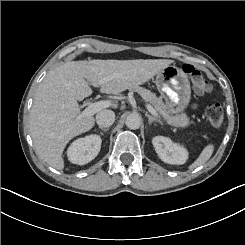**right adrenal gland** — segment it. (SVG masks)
Masks as SVG:
<instances>
[{"mask_svg":"<svg viewBox=\"0 0 245 245\" xmlns=\"http://www.w3.org/2000/svg\"><path fill=\"white\" fill-rule=\"evenodd\" d=\"M99 129L104 131V132H101L102 135L108 130V129L104 128V127H99Z\"/></svg>","mask_w":245,"mask_h":245,"instance_id":"1","label":"right adrenal gland"}]
</instances>
